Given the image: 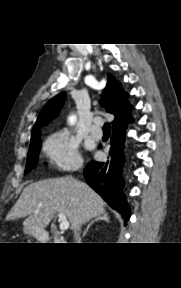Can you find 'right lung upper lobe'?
I'll return each mask as SVG.
<instances>
[{
  "label": "right lung upper lobe",
  "instance_id": "cb5924a9",
  "mask_svg": "<svg viewBox=\"0 0 181 288\" xmlns=\"http://www.w3.org/2000/svg\"><path fill=\"white\" fill-rule=\"evenodd\" d=\"M126 96L127 93L121 89V84L111 74H108V82L103 91L101 103L109 113L115 116L112 121V128L127 126V123L132 121L130 116L132 106L126 100ZM65 98L66 93L62 92L45 105L34 125L31 141L41 135L42 126L47 125L58 115Z\"/></svg>",
  "mask_w": 181,
  "mask_h": 288
}]
</instances>
